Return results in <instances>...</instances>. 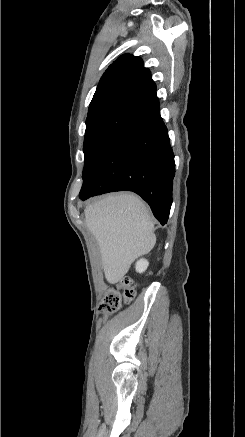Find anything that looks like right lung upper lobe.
<instances>
[{"label": "right lung upper lobe", "mask_w": 245, "mask_h": 437, "mask_svg": "<svg viewBox=\"0 0 245 437\" xmlns=\"http://www.w3.org/2000/svg\"><path fill=\"white\" fill-rule=\"evenodd\" d=\"M111 103L127 104L141 111L159 105L151 72L144 67L140 57L125 54L108 67L97 86L88 111Z\"/></svg>", "instance_id": "right-lung-upper-lobe-1"}]
</instances>
